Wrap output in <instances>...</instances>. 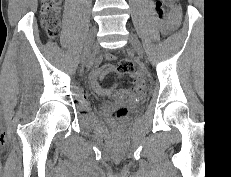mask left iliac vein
<instances>
[{
	"label": "left iliac vein",
	"mask_w": 231,
	"mask_h": 177,
	"mask_svg": "<svg viewBox=\"0 0 231 177\" xmlns=\"http://www.w3.org/2000/svg\"><path fill=\"white\" fill-rule=\"evenodd\" d=\"M130 44L131 46L136 50V52L138 53V55H142V47L141 44L139 42V40L137 39V37L134 34H130Z\"/></svg>",
	"instance_id": "1"
}]
</instances>
